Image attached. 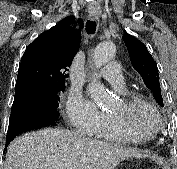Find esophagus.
<instances>
[{"label":"esophagus","mask_w":177,"mask_h":169,"mask_svg":"<svg viewBox=\"0 0 177 169\" xmlns=\"http://www.w3.org/2000/svg\"><path fill=\"white\" fill-rule=\"evenodd\" d=\"M88 12H89V18L92 20L98 19L100 16L101 10L100 6L98 5H90L88 7Z\"/></svg>","instance_id":"34e87169"}]
</instances>
